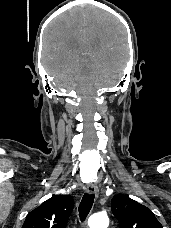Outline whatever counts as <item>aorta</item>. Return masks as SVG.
<instances>
[{"label":"aorta","instance_id":"obj_1","mask_svg":"<svg viewBox=\"0 0 171 228\" xmlns=\"http://www.w3.org/2000/svg\"><path fill=\"white\" fill-rule=\"evenodd\" d=\"M89 228H108L109 219L104 213L92 215L88 220Z\"/></svg>","mask_w":171,"mask_h":228}]
</instances>
